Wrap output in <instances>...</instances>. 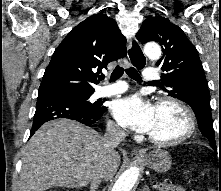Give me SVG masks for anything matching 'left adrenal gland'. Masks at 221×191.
Segmentation results:
<instances>
[{
  "label": "left adrenal gland",
  "instance_id": "left-adrenal-gland-1",
  "mask_svg": "<svg viewBox=\"0 0 221 191\" xmlns=\"http://www.w3.org/2000/svg\"><path fill=\"white\" fill-rule=\"evenodd\" d=\"M139 191H150L149 187L147 185H145L142 189H140Z\"/></svg>",
  "mask_w": 221,
  "mask_h": 191
}]
</instances>
